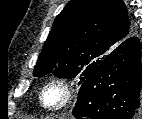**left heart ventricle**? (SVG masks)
Instances as JSON below:
<instances>
[{"instance_id":"obj_1","label":"left heart ventricle","mask_w":142,"mask_h":119,"mask_svg":"<svg viewBox=\"0 0 142 119\" xmlns=\"http://www.w3.org/2000/svg\"><path fill=\"white\" fill-rule=\"evenodd\" d=\"M58 98V92L56 90H52L47 94V101L48 102H54Z\"/></svg>"}]
</instances>
